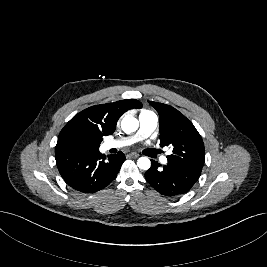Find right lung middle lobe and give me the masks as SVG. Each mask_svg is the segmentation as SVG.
Here are the masks:
<instances>
[{
  "instance_id": "obj_1",
  "label": "right lung middle lobe",
  "mask_w": 267,
  "mask_h": 267,
  "mask_svg": "<svg viewBox=\"0 0 267 267\" xmlns=\"http://www.w3.org/2000/svg\"><path fill=\"white\" fill-rule=\"evenodd\" d=\"M103 139H94L78 132H68L59 135L55 154L87 153L99 149Z\"/></svg>"
}]
</instances>
